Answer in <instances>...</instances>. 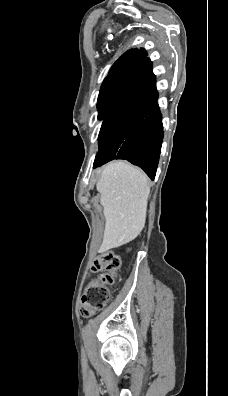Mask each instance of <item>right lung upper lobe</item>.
Masks as SVG:
<instances>
[{
    "instance_id": "cb5924a9",
    "label": "right lung upper lobe",
    "mask_w": 228,
    "mask_h": 396,
    "mask_svg": "<svg viewBox=\"0 0 228 396\" xmlns=\"http://www.w3.org/2000/svg\"><path fill=\"white\" fill-rule=\"evenodd\" d=\"M147 53L144 49L126 51L111 67L103 82L137 71H146Z\"/></svg>"
}]
</instances>
